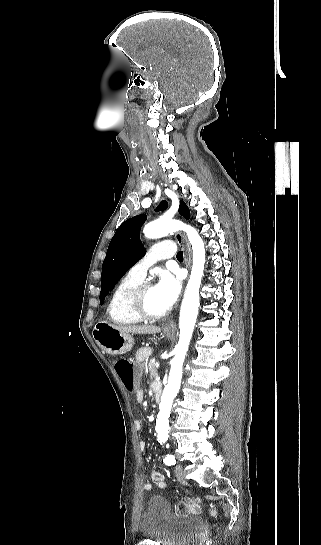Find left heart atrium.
<instances>
[{"label": "left heart atrium", "instance_id": "1", "mask_svg": "<svg viewBox=\"0 0 321 545\" xmlns=\"http://www.w3.org/2000/svg\"><path fill=\"white\" fill-rule=\"evenodd\" d=\"M182 281L178 274L162 270L154 286L157 299L165 309L169 311L181 294Z\"/></svg>", "mask_w": 321, "mask_h": 545}]
</instances>
